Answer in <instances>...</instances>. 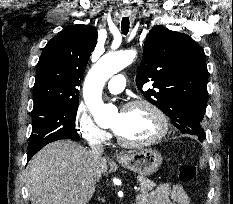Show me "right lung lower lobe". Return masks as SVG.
I'll return each instance as SVG.
<instances>
[{
  "label": "right lung lower lobe",
  "mask_w": 233,
  "mask_h": 204,
  "mask_svg": "<svg viewBox=\"0 0 233 204\" xmlns=\"http://www.w3.org/2000/svg\"><path fill=\"white\" fill-rule=\"evenodd\" d=\"M39 150H28L27 161H29Z\"/></svg>",
  "instance_id": "obj_1"
}]
</instances>
